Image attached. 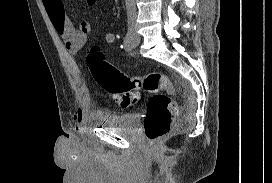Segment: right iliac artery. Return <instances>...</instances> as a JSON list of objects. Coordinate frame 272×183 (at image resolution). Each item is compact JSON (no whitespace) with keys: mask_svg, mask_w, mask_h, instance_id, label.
Returning a JSON list of instances; mask_svg holds the SVG:
<instances>
[{"mask_svg":"<svg viewBox=\"0 0 272 183\" xmlns=\"http://www.w3.org/2000/svg\"><path fill=\"white\" fill-rule=\"evenodd\" d=\"M122 47L128 52H130L133 49L131 32H128L126 34Z\"/></svg>","mask_w":272,"mask_h":183,"instance_id":"right-iliac-artery-1","label":"right iliac artery"}]
</instances>
